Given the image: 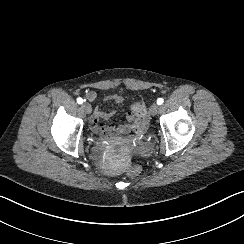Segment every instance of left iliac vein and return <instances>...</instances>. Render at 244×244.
Masks as SVG:
<instances>
[{"label": "left iliac vein", "mask_w": 244, "mask_h": 244, "mask_svg": "<svg viewBox=\"0 0 244 244\" xmlns=\"http://www.w3.org/2000/svg\"><path fill=\"white\" fill-rule=\"evenodd\" d=\"M149 110L152 115H156L160 110V106L158 104H153Z\"/></svg>", "instance_id": "left-iliac-vein-1"}]
</instances>
